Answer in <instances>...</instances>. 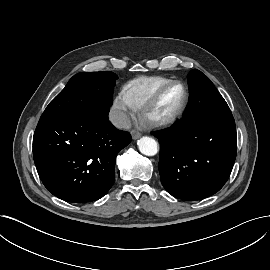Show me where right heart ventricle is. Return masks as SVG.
Segmentation results:
<instances>
[{"label":"right heart ventricle","instance_id":"obj_1","mask_svg":"<svg viewBox=\"0 0 270 270\" xmlns=\"http://www.w3.org/2000/svg\"><path fill=\"white\" fill-rule=\"evenodd\" d=\"M170 78L163 76H142L128 81L123 87V93L134 110H141L143 105Z\"/></svg>","mask_w":270,"mask_h":270}]
</instances>
